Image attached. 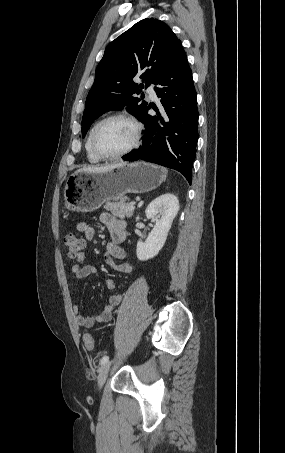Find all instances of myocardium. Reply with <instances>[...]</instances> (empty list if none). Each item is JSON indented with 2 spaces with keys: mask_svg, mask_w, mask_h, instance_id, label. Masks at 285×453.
I'll return each instance as SVG.
<instances>
[{
  "mask_svg": "<svg viewBox=\"0 0 285 453\" xmlns=\"http://www.w3.org/2000/svg\"><path fill=\"white\" fill-rule=\"evenodd\" d=\"M113 119H125V120L129 121L134 127L135 136H134V140H133L132 144L129 147H127L126 149H124L123 151H120L115 154H105V153L101 152L97 146V135H98L100 128L106 122L113 120ZM142 135H143L142 123L132 114L125 112V111H119V112H115V113H112V114L104 117L95 125L94 130L92 132V136H91V147H92L94 154L102 160L118 159V158L126 156L127 154L134 151L140 145Z\"/></svg>",
  "mask_w": 285,
  "mask_h": 453,
  "instance_id": "obj_1",
  "label": "myocardium"
}]
</instances>
